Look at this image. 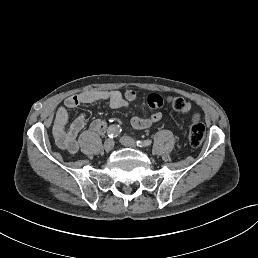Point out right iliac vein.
<instances>
[{
	"label": "right iliac vein",
	"mask_w": 258,
	"mask_h": 258,
	"mask_svg": "<svg viewBox=\"0 0 258 258\" xmlns=\"http://www.w3.org/2000/svg\"><path fill=\"white\" fill-rule=\"evenodd\" d=\"M114 145H115L114 140L111 139V138H108V139H106V140L104 141V143H103V148H104L105 151L110 152V151L113 150Z\"/></svg>",
	"instance_id": "right-iliac-vein-1"
}]
</instances>
